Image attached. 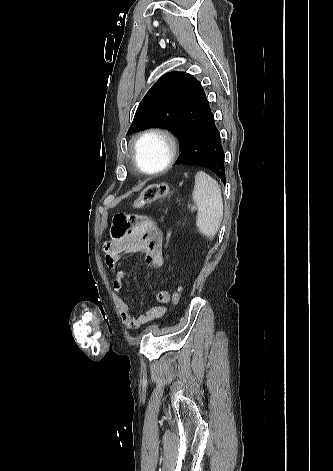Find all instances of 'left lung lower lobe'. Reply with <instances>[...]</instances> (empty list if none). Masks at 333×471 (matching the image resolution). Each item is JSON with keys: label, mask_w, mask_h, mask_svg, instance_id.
<instances>
[{"label": "left lung lower lobe", "mask_w": 333, "mask_h": 471, "mask_svg": "<svg viewBox=\"0 0 333 471\" xmlns=\"http://www.w3.org/2000/svg\"><path fill=\"white\" fill-rule=\"evenodd\" d=\"M178 164L206 167L225 183L224 152L210 106L196 124L188 144L174 165Z\"/></svg>", "instance_id": "1"}]
</instances>
